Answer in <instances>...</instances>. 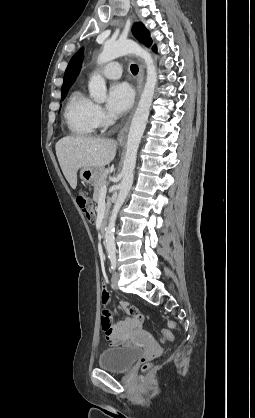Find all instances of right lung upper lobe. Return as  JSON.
<instances>
[{"label":"right lung upper lobe","mask_w":255,"mask_h":418,"mask_svg":"<svg viewBox=\"0 0 255 418\" xmlns=\"http://www.w3.org/2000/svg\"><path fill=\"white\" fill-rule=\"evenodd\" d=\"M83 60V48H81L70 60L64 74L62 91L69 89L78 76Z\"/></svg>","instance_id":"cb5924a9"}]
</instances>
